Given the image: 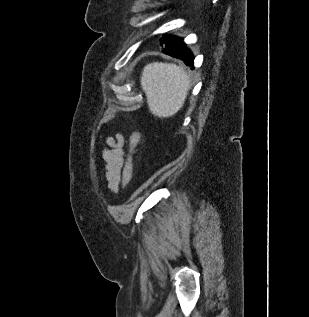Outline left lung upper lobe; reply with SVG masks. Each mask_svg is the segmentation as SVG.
Segmentation results:
<instances>
[{
    "mask_svg": "<svg viewBox=\"0 0 309 317\" xmlns=\"http://www.w3.org/2000/svg\"><path fill=\"white\" fill-rule=\"evenodd\" d=\"M176 38L177 36H170V35L164 34L163 38L160 41H161V44H167Z\"/></svg>",
    "mask_w": 309,
    "mask_h": 317,
    "instance_id": "obj_1",
    "label": "left lung upper lobe"
}]
</instances>
